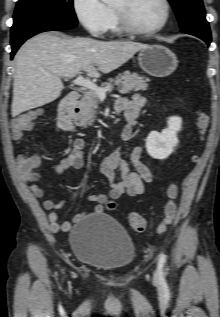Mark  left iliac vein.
I'll return each mask as SVG.
<instances>
[{
	"label": "left iliac vein",
	"mask_w": 220,
	"mask_h": 317,
	"mask_svg": "<svg viewBox=\"0 0 220 317\" xmlns=\"http://www.w3.org/2000/svg\"><path fill=\"white\" fill-rule=\"evenodd\" d=\"M160 272H159V270L158 269H156L155 270V272H154V279L158 282V281H160Z\"/></svg>",
	"instance_id": "1"
}]
</instances>
